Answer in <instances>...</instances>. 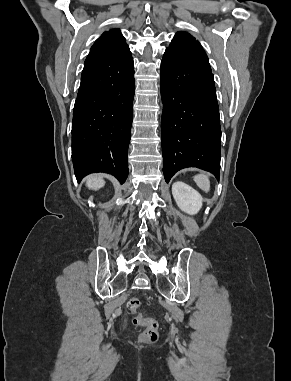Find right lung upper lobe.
<instances>
[{"label": "right lung upper lobe", "mask_w": 291, "mask_h": 381, "mask_svg": "<svg viewBox=\"0 0 291 381\" xmlns=\"http://www.w3.org/2000/svg\"><path fill=\"white\" fill-rule=\"evenodd\" d=\"M129 48L118 28L110 29L99 37L90 49L88 57L121 54Z\"/></svg>", "instance_id": "cb5924a9"}]
</instances>
